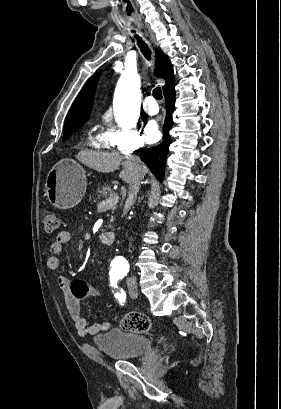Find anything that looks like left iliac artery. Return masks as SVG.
Listing matches in <instances>:
<instances>
[{"label": "left iliac artery", "mask_w": 281, "mask_h": 409, "mask_svg": "<svg viewBox=\"0 0 281 409\" xmlns=\"http://www.w3.org/2000/svg\"><path fill=\"white\" fill-rule=\"evenodd\" d=\"M111 286L116 290L114 296L120 302L123 303L126 299V294L122 289H119L117 286V279H111Z\"/></svg>", "instance_id": "obj_1"}]
</instances>
